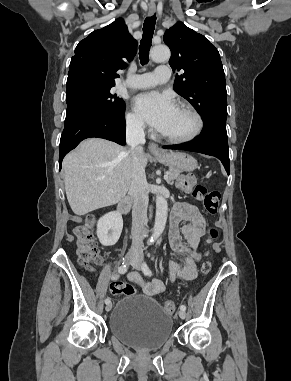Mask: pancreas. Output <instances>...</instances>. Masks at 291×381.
Segmentation results:
<instances>
[{"label":"pancreas","instance_id":"pancreas-1","mask_svg":"<svg viewBox=\"0 0 291 381\" xmlns=\"http://www.w3.org/2000/svg\"><path fill=\"white\" fill-rule=\"evenodd\" d=\"M180 172L176 169H170L168 171V179L166 180L168 184L172 185L174 180L179 176Z\"/></svg>","mask_w":291,"mask_h":381}]
</instances>
